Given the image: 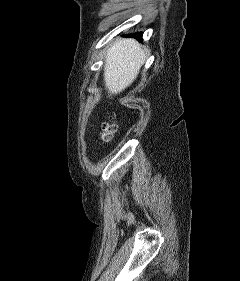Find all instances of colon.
I'll return each instance as SVG.
<instances>
[{
	"instance_id": "1",
	"label": "colon",
	"mask_w": 240,
	"mask_h": 281,
	"mask_svg": "<svg viewBox=\"0 0 240 281\" xmlns=\"http://www.w3.org/2000/svg\"><path fill=\"white\" fill-rule=\"evenodd\" d=\"M115 130H116V126L114 123H105L102 127V131L100 134L102 141L104 142L110 141Z\"/></svg>"
}]
</instances>
